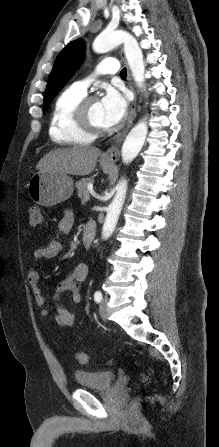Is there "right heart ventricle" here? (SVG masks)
<instances>
[{
	"instance_id": "right-heart-ventricle-1",
	"label": "right heart ventricle",
	"mask_w": 219,
	"mask_h": 447,
	"mask_svg": "<svg viewBox=\"0 0 219 447\" xmlns=\"http://www.w3.org/2000/svg\"><path fill=\"white\" fill-rule=\"evenodd\" d=\"M83 97V93L69 87L56 98L49 123V135L53 142L61 145L91 142L92 137L79 130L73 118L75 106Z\"/></svg>"
}]
</instances>
